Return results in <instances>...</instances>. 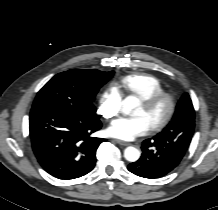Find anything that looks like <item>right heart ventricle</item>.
Returning <instances> with one entry per match:
<instances>
[{
    "instance_id": "obj_1",
    "label": "right heart ventricle",
    "mask_w": 218,
    "mask_h": 210,
    "mask_svg": "<svg viewBox=\"0 0 218 210\" xmlns=\"http://www.w3.org/2000/svg\"><path fill=\"white\" fill-rule=\"evenodd\" d=\"M115 88L121 92L143 99L164 91L160 80L153 75L146 73H135L122 77Z\"/></svg>"
}]
</instances>
